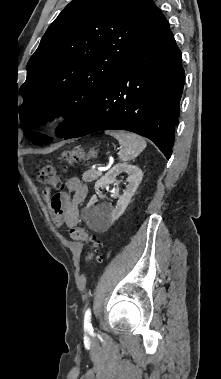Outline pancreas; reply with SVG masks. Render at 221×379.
Listing matches in <instances>:
<instances>
[{
  "instance_id": "cf45deb5",
  "label": "pancreas",
  "mask_w": 221,
  "mask_h": 379,
  "mask_svg": "<svg viewBox=\"0 0 221 379\" xmlns=\"http://www.w3.org/2000/svg\"><path fill=\"white\" fill-rule=\"evenodd\" d=\"M101 172L99 171H95V170H88L86 171L83 176H82V179L85 181V182H92L96 179H98L99 176H101Z\"/></svg>"
}]
</instances>
